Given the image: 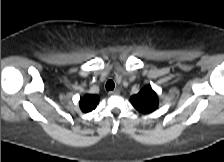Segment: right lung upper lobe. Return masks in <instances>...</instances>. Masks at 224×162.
I'll return each mask as SVG.
<instances>
[{
	"mask_svg": "<svg viewBox=\"0 0 224 162\" xmlns=\"http://www.w3.org/2000/svg\"><path fill=\"white\" fill-rule=\"evenodd\" d=\"M99 102L97 95L86 94L80 99V108L84 113L91 112L94 110Z\"/></svg>",
	"mask_w": 224,
	"mask_h": 162,
	"instance_id": "1",
	"label": "right lung upper lobe"
}]
</instances>
